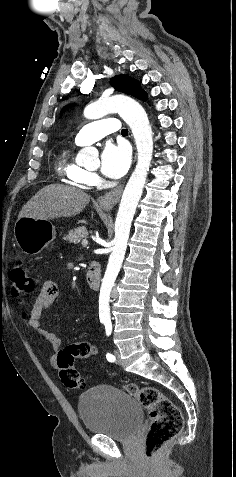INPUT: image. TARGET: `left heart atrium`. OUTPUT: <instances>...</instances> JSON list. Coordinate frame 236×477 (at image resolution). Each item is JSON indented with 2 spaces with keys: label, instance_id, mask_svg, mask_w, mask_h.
<instances>
[{
  "label": "left heart atrium",
  "instance_id": "1",
  "mask_svg": "<svg viewBox=\"0 0 236 477\" xmlns=\"http://www.w3.org/2000/svg\"><path fill=\"white\" fill-rule=\"evenodd\" d=\"M130 153L126 146L107 143L103 149L100 170L109 178H120L128 170Z\"/></svg>",
  "mask_w": 236,
  "mask_h": 477
}]
</instances>
